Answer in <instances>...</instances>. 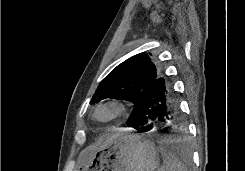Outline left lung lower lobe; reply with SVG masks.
<instances>
[{"instance_id":"left-lung-lower-lobe-1","label":"left lung lower lobe","mask_w":245,"mask_h":171,"mask_svg":"<svg viewBox=\"0 0 245 171\" xmlns=\"http://www.w3.org/2000/svg\"><path fill=\"white\" fill-rule=\"evenodd\" d=\"M181 122V112L171 86L158 77L142 91L126 124L142 133L154 125L175 126Z\"/></svg>"}]
</instances>
